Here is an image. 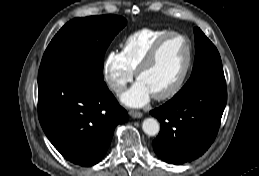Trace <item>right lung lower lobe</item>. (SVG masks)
<instances>
[{
	"instance_id": "right-lung-lower-lobe-1",
	"label": "right lung lower lobe",
	"mask_w": 259,
	"mask_h": 176,
	"mask_svg": "<svg viewBox=\"0 0 259 176\" xmlns=\"http://www.w3.org/2000/svg\"><path fill=\"white\" fill-rule=\"evenodd\" d=\"M38 116L60 154L85 167L103 158L114 128L128 120L103 78L73 68L38 76Z\"/></svg>"
}]
</instances>
